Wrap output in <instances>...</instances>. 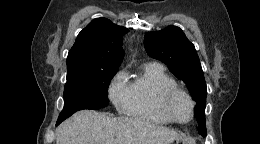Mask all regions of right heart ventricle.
<instances>
[{
    "label": "right heart ventricle",
    "instance_id": "right-heart-ventricle-1",
    "mask_svg": "<svg viewBox=\"0 0 260 144\" xmlns=\"http://www.w3.org/2000/svg\"><path fill=\"white\" fill-rule=\"evenodd\" d=\"M177 86L164 68L157 63H146L128 85L124 112L135 119L156 124L171 123L158 109L157 100L162 90Z\"/></svg>",
    "mask_w": 260,
    "mask_h": 144
}]
</instances>
